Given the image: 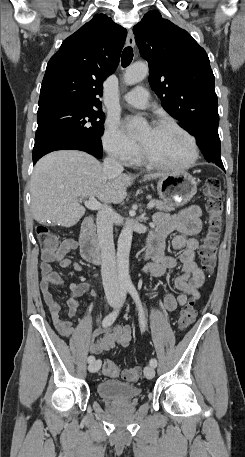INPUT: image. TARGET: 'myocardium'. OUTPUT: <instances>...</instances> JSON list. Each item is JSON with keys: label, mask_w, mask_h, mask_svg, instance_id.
<instances>
[{"label": "myocardium", "mask_w": 245, "mask_h": 457, "mask_svg": "<svg viewBox=\"0 0 245 457\" xmlns=\"http://www.w3.org/2000/svg\"><path fill=\"white\" fill-rule=\"evenodd\" d=\"M154 128H156V129L174 128V129L180 131L183 135H185V137L189 140V149H190L189 159L185 163H182L180 165H172L169 163L159 161V160L149 156L148 154H145L138 147V154L141 157V159L151 167H154L157 169H162V170H168V171H182V170H186V169L192 167L198 157V150H197L195 138L186 129H184L178 123H176L170 119L160 120L159 122H157L154 125Z\"/></svg>", "instance_id": "obj_1"}]
</instances>
